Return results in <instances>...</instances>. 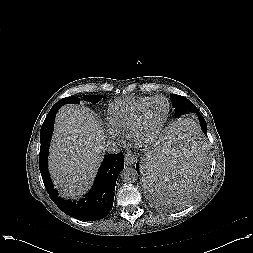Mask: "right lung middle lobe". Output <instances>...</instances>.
<instances>
[{"label":"right lung middle lobe","mask_w":253,"mask_h":253,"mask_svg":"<svg viewBox=\"0 0 253 253\" xmlns=\"http://www.w3.org/2000/svg\"><path fill=\"white\" fill-rule=\"evenodd\" d=\"M103 96H98V95H86L84 96V99L88 102H92L94 104L98 103ZM70 103H75L78 104L80 103V99L77 97H66L61 99L60 101H58L55 105L61 107L65 104H70ZM52 131L53 129L51 128H47V127H41V132H40V142H41V147L49 146V142L51 140V136H52ZM40 151H42L40 149Z\"/></svg>","instance_id":"obj_1"}]
</instances>
